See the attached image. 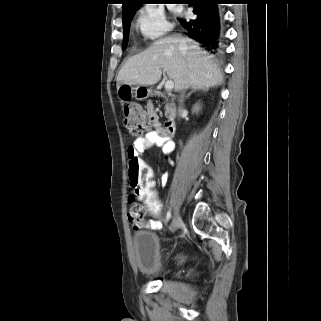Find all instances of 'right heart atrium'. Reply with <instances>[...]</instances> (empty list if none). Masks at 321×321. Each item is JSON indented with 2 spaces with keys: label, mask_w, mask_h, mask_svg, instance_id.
I'll list each match as a JSON object with an SVG mask.
<instances>
[{
  "label": "right heart atrium",
  "mask_w": 321,
  "mask_h": 321,
  "mask_svg": "<svg viewBox=\"0 0 321 321\" xmlns=\"http://www.w3.org/2000/svg\"><path fill=\"white\" fill-rule=\"evenodd\" d=\"M136 26L147 39H157L168 33L172 26L163 9L157 5H145L137 14Z\"/></svg>",
  "instance_id": "right-heart-atrium-1"
}]
</instances>
